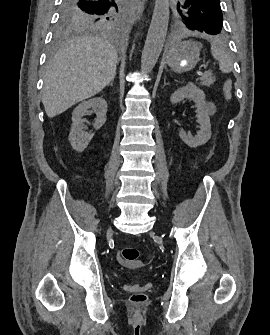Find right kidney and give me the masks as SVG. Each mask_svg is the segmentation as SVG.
<instances>
[{
    "label": "right kidney",
    "instance_id": "right-kidney-1",
    "mask_svg": "<svg viewBox=\"0 0 270 335\" xmlns=\"http://www.w3.org/2000/svg\"><path fill=\"white\" fill-rule=\"evenodd\" d=\"M90 108L94 110L97 116L93 124L95 130H99L106 122L107 102H105L103 98H91V100H87V102L78 104L72 114L73 124L68 138L73 150H76V152H83L94 136V134H90V132H84L86 128L83 122H86V120H82V116L87 114Z\"/></svg>",
    "mask_w": 270,
    "mask_h": 335
}]
</instances>
